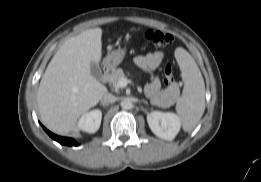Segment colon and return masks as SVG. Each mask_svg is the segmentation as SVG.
<instances>
[{"label": "colon", "instance_id": "1", "mask_svg": "<svg viewBox=\"0 0 261 182\" xmlns=\"http://www.w3.org/2000/svg\"><path fill=\"white\" fill-rule=\"evenodd\" d=\"M145 39L155 47H166L173 42V37L169 33L149 29L145 32ZM164 82L165 84H171L174 80L173 69L169 62H166L163 68Z\"/></svg>", "mask_w": 261, "mask_h": 182}]
</instances>
